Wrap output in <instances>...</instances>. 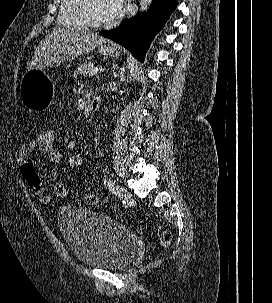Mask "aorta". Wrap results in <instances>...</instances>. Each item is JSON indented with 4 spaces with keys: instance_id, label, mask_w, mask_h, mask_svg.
<instances>
[{
    "instance_id": "762f6f07",
    "label": "aorta",
    "mask_w": 272,
    "mask_h": 303,
    "mask_svg": "<svg viewBox=\"0 0 272 303\" xmlns=\"http://www.w3.org/2000/svg\"><path fill=\"white\" fill-rule=\"evenodd\" d=\"M139 2H140L141 10L146 11L151 0H139Z\"/></svg>"
}]
</instances>
